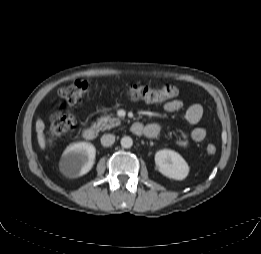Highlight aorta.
I'll list each match as a JSON object with an SVG mask.
<instances>
[{"instance_id":"obj_1","label":"aorta","mask_w":261,"mask_h":254,"mask_svg":"<svg viewBox=\"0 0 261 254\" xmlns=\"http://www.w3.org/2000/svg\"><path fill=\"white\" fill-rule=\"evenodd\" d=\"M133 145V140L131 137L129 136H124L122 139H121V146L123 148H130L132 147Z\"/></svg>"}]
</instances>
